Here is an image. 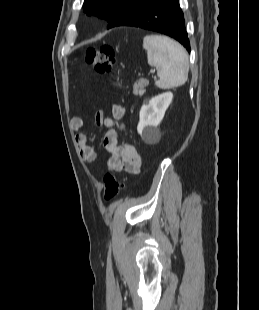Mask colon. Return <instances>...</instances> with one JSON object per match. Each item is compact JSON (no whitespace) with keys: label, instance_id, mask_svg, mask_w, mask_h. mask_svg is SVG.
Listing matches in <instances>:
<instances>
[{"label":"colon","instance_id":"obj_1","mask_svg":"<svg viewBox=\"0 0 259 310\" xmlns=\"http://www.w3.org/2000/svg\"><path fill=\"white\" fill-rule=\"evenodd\" d=\"M84 59L98 73L111 74L116 63V52L110 45L90 47L85 50ZM104 184V196L106 199L114 198L124 187V183L114 173H107L104 176Z\"/></svg>","mask_w":259,"mask_h":310}]
</instances>
